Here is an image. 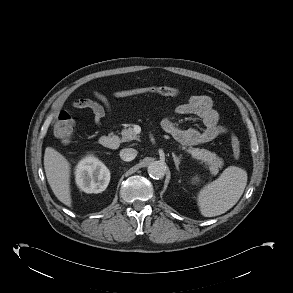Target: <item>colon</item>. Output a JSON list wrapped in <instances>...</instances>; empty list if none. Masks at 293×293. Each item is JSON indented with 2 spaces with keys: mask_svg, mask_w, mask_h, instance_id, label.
Listing matches in <instances>:
<instances>
[{
  "mask_svg": "<svg viewBox=\"0 0 293 293\" xmlns=\"http://www.w3.org/2000/svg\"><path fill=\"white\" fill-rule=\"evenodd\" d=\"M118 97L138 96L144 94H157L162 96H176L179 89L170 86L140 87L127 90H120L114 93ZM74 134V120L67 112H61L54 124V135L62 143H69ZM230 143L233 156L239 159L241 155V143L238 136L234 133L230 135Z\"/></svg>",
  "mask_w": 293,
  "mask_h": 293,
  "instance_id": "colon-1",
  "label": "colon"
}]
</instances>
